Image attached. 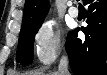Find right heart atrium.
Listing matches in <instances>:
<instances>
[{"instance_id":"obj_1","label":"right heart atrium","mask_w":107,"mask_h":75,"mask_svg":"<svg viewBox=\"0 0 107 75\" xmlns=\"http://www.w3.org/2000/svg\"><path fill=\"white\" fill-rule=\"evenodd\" d=\"M34 47L39 62L51 64L64 47L62 32L53 20H45L34 34Z\"/></svg>"}]
</instances>
